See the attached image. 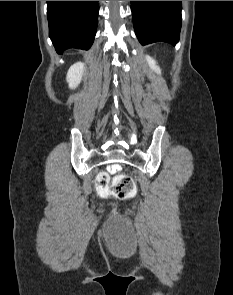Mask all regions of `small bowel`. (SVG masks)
Listing matches in <instances>:
<instances>
[{
    "instance_id": "c3829d8e",
    "label": "small bowel",
    "mask_w": 233,
    "mask_h": 295,
    "mask_svg": "<svg viewBox=\"0 0 233 295\" xmlns=\"http://www.w3.org/2000/svg\"><path fill=\"white\" fill-rule=\"evenodd\" d=\"M118 169H119V166H118V165H114V166H112V168H111V170H112L113 172H116Z\"/></svg>"
}]
</instances>
